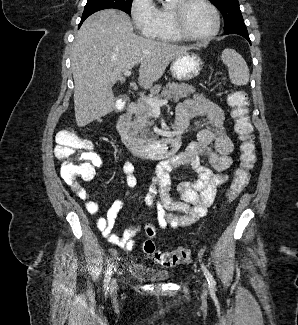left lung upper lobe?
<instances>
[{"instance_id":"1","label":"left lung upper lobe","mask_w":298,"mask_h":325,"mask_svg":"<svg viewBox=\"0 0 298 325\" xmlns=\"http://www.w3.org/2000/svg\"><path fill=\"white\" fill-rule=\"evenodd\" d=\"M222 12L224 17V31L232 28L245 26L244 20L241 15L238 0H210Z\"/></svg>"}]
</instances>
